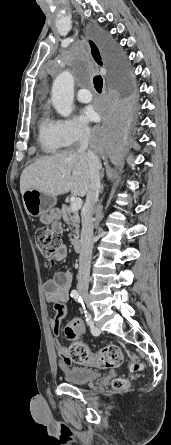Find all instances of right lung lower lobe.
I'll return each instance as SVG.
<instances>
[{
    "label": "right lung lower lobe",
    "instance_id": "1",
    "mask_svg": "<svg viewBox=\"0 0 171 445\" xmlns=\"http://www.w3.org/2000/svg\"><path fill=\"white\" fill-rule=\"evenodd\" d=\"M102 49L115 72L112 93L104 100V122L92 130L90 147L98 155L119 161L125 156L135 119V88L130 78L126 57L110 40Z\"/></svg>",
    "mask_w": 171,
    "mask_h": 445
}]
</instances>
